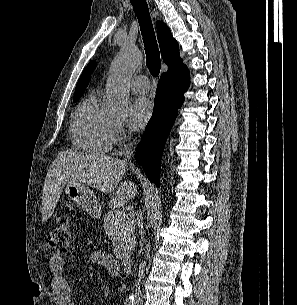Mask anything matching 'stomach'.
Returning a JSON list of instances; mask_svg holds the SVG:
<instances>
[{
    "instance_id": "0dacf381",
    "label": "stomach",
    "mask_w": 297,
    "mask_h": 305,
    "mask_svg": "<svg viewBox=\"0 0 297 305\" xmlns=\"http://www.w3.org/2000/svg\"><path fill=\"white\" fill-rule=\"evenodd\" d=\"M63 190L77 206L87 211L93 218L101 215V206L93 191L85 184L67 183Z\"/></svg>"
}]
</instances>
